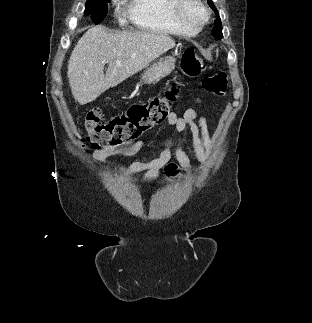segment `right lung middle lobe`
Returning a JSON list of instances; mask_svg holds the SVG:
<instances>
[{
    "label": "right lung middle lobe",
    "instance_id": "obj_1",
    "mask_svg": "<svg viewBox=\"0 0 312 323\" xmlns=\"http://www.w3.org/2000/svg\"><path fill=\"white\" fill-rule=\"evenodd\" d=\"M110 0H88L84 15H90L95 24H99L106 16L108 11L107 2Z\"/></svg>",
    "mask_w": 312,
    "mask_h": 323
}]
</instances>
